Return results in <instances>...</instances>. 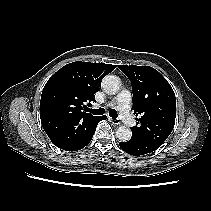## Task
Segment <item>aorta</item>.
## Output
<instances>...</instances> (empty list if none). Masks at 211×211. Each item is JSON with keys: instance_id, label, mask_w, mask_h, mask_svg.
<instances>
[{"instance_id": "obj_1", "label": "aorta", "mask_w": 211, "mask_h": 211, "mask_svg": "<svg viewBox=\"0 0 211 211\" xmlns=\"http://www.w3.org/2000/svg\"><path fill=\"white\" fill-rule=\"evenodd\" d=\"M121 86L120 79L115 75H107L101 82V87L104 92L110 95H115ZM116 137L120 142H127L131 139L132 131L126 126H119L116 129Z\"/></svg>"}]
</instances>
